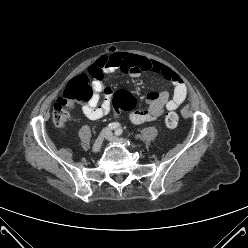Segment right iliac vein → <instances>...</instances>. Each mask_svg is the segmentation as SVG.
I'll list each match as a JSON object with an SVG mask.
<instances>
[{
	"label": "right iliac vein",
	"mask_w": 248,
	"mask_h": 248,
	"mask_svg": "<svg viewBox=\"0 0 248 248\" xmlns=\"http://www.w3.org/2000/svg\"><path fill=\"white\" fill-rule=\"evenodd\" d=\"M107 132L108 130H103L101 134L97 137L92 147L93 153H97L100 150L104 137L106 136Z\"/></svg>",
	"instance_id": "1"
}]
</instances>
